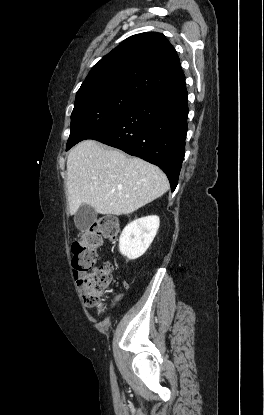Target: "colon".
<instances>
[{
	"label": "colon",
	"mask_w": 264,
	"mask_h": 415,
	"mask_svg": "<svg viewBox=\"0 0 264 415\" xmlns=\"http://www.w3.org/2000/svg\"><path fill=\"white\" fill-rule=\"evenodd\" d=\"M120 230L116 216H105L92 224L72 245V269L85 307L104 310L103 300L112 282L113 265H97L98 251L105 240H115Z\"/></svg>",
	"instance_id": "colon-1"
}]
</instances>
